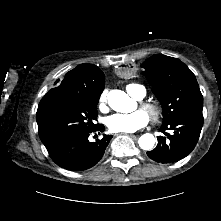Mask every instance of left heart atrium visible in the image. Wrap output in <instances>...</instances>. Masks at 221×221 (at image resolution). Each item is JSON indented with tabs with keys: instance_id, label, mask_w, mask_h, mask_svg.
I'll return each instance as SVG.
<instances>
[{
	"instance_id": "39dd6f15",
	"label": "left heart atrium",
	"mask_w": 221,
	"mask_h": 221,
	"mask_svg": "<svg viewBox=\"0 0 221 221\" xmlns=\"http://www.w3.org/2000/svg\"><path fill=\"white\" fill-rule=\"evenodd\" d=\"M149 122L146 112L137 110L129 114H113L106 120V125L111 132L131 133L145 127Z\"/></svg>"
}]
</instances>
